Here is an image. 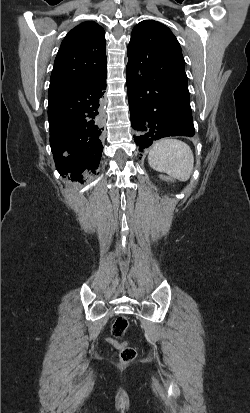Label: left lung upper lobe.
I'll use <instances>...</instances> for the list:
<instances>
[{
  "mask_svg": "<svg viewBox=\"0 0 250 413\" xmlns=\"http://www.w3.org/2000/svg\"><path fill=\"white\" fill-rule=\"evenodd\" d=\"M147 39L154 42V52L159 64L173 69L178 75L186 76L181 47L168 27L154 20L140 22L132 31L128 48Z\"/></svg>",
  "mask_w": 250,
  "mask_h": 413,
  "instance_id": "5c2ea615",
  "label": "left lung upper lobe"
}]
</instances>
